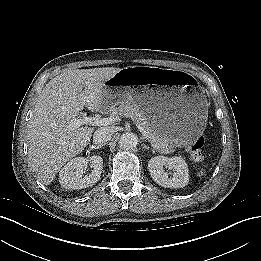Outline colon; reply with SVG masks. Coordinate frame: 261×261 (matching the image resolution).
Segmentation results:
<instances>
[{"mask_svg":"<svg viewBox=\"0 0 261 261\" xmlns=\"http://www.w3.org/2000/svg\"><path fill=\"white\" fill-rule=\"evenodd\" d=\"M204 145V139L202 137H198L193 144L191 145V156L196 161H201L204 159V153L202 151Z\"/></svg>","mask_w":261,"mask_h":261,"instance_id":"obj_1","label":"colon"}]
</instances>
